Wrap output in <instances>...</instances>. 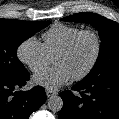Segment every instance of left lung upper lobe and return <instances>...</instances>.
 Segmentation results:
<instances>
[{
	"label": "left lung upper lobe",
	"mask_w": 119,
	"mask_h": 119,
	"mask_svg": "<svg viewBox=\"0 0 119 119\" xmlns=\"http://www.w3.org/2000/svg\"><path fill=\"white\" fill-rule=\"evenodd\" d=\"M63 21L93 25L101 39L99 56L93 69L83 80L119 76V24L95 13H77Z\"/></svg>",
	"instance_id": "left-lung-upper-lobe-1"
}]
</instances>
